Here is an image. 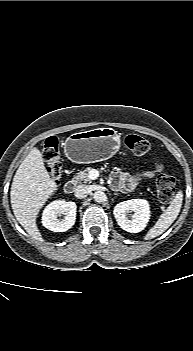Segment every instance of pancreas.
<instances>
[{
    "mask_svg": "<svg viewBox=\"0 0 193 351\" xmlns=\"http://www.w3.org/2000/svg\"><path fill=\"white\" fill-rule=\"evenodd\" d=\"M93 170L91 167L85 168L83 171H80L77 173L74 178L73 182L75 184L80 183V182H91V179L89 178V172Z\"/></svg>",
    "mask_w": 193,
    "mask_h": 351,
    "instance_id": "pancreas-1",
    "label": "pancreas"
}]
</instances>
